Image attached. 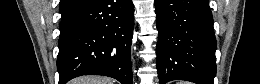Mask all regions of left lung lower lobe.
I'll return each mask as SVG.
<instances>
[{
    "mask_svg": "<svg viewBox=\"0 0 260 84\" xmlns=\"http://www.w3.org/2000/svg\"><path fill=\"white\" fill-rule=\"evenodd\" d=\"M160 84H213L216 39L208 0H155Z\"/></svg>",
    "mask_w": 260,
    "mask_h": 84,
    "instance_id": "0a47b994",
    "label": "left lung lower lobe"
}]
</instances>
